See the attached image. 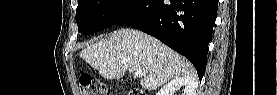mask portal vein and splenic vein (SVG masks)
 I'll use <instances>...</instances> for the list:
<instances>
[{
	"label": "portal vein and splenic vein",
	"mask_w": 277,
	"mask_h": 95,
	"mask_svg": "<svg viewBox=\"0 0 277 95\" xmlns=\"http://www.w3.org/2000/svg\"><path fill=\"white\" fill-rule=\"evenodd\" d=\"M135 76L136 77H141L142 76V72L141 71H135Z\"/></svg>",
	"instance_id": "1"
}]
</instances>
